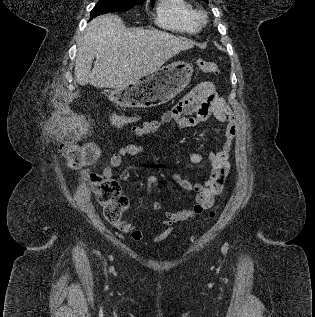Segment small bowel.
Here are the masks:
<instances>
[{
    "instance_id": "small-bowel-1",
    "label": "small bowel",
    "mask_w": 315,
    "mask_h": 317,
    "mask_svg": "<svg viewBox=\"0 0 315 317\" xmlns=\"http://www.w3.org/2000/svg\"><path fill=\"white\" fill-rule=\"evenodd\" d=\"M212 115L226 125L225 140L221 149L218 152L209 153L207 156L198 152L192 153L190 156V161L193 164H200L205 159L210 162L208 179L204 183H192L179 174L173 176L177 185L196 192V203L191 208L177 212H166L163 221L164 228L151 236L152 243L165 240L172 233L173 225L176 222L200 215L214 205L215 198L221 192L223 182L229 172V156L236 135V119L228 104L218 96L215 85L211 82H204L196 86L172 109L163 112L160 118L132 127V133L136 137H143L156 133L161 126L171 121H175L181 128H189L205 122ZM142 152L143 146L138 143L122 146L118 152L111 156L109 165L103 169V174L113 178L114 170L122 165L124 157L137 156ZM129 176L130 171L126 169L121 173L120 178L125 180ZM157 190V177L149 176L146 182L147 193L153 194ZM152 206L154 210L161 209V204L158 201H153ZM120 229L128 233L133 240L140 241L145 238V234L130 223L123 222Z\"/></svg>"
}]
</instances>
